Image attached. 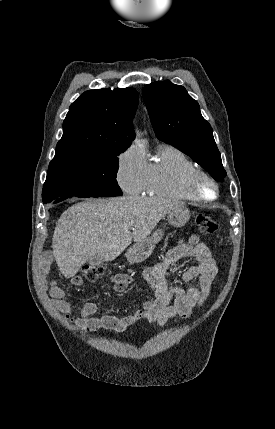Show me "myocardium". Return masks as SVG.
Wrapping results in <instances>:
<instances>
[{
	"instance_id": "myocardium-1",
	"label": "myocardium",
	"mask_w": 275,
	"mask_h": 429,
	"mask_svg": "<svg viewBox=\"0 0 275 429\" xmlns=\"http://www.w3.org/2000/svg\"><path fill=\"white\" fill-rule=\"evenodd\" d=\"M208 183L214 190L212 197H207L202 192V184ZM187 190L193 200L198 202H213L219 196V185L217 181L207 172L197 169L193 171L187 178Z\"/></svg>"
}]
</instances>
